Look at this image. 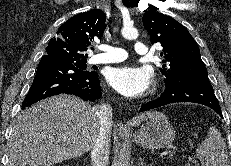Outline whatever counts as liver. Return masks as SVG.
Masks as SVG:
<instances>
[{"label": "liver", "instance_id": "liver-1", "mask_svg": "<svg viewBox=\"0 0 231 166\" xmlns=\"http://www.w3.org/2000/svg\"><path fill=\"white\" fill-rule=\"evenodd\" d=\"M156 112L132 119L139 125ZM100 121L94 107L70 95H59L26 108L15 121L8 144L9 166H52L89 152Z\"/></svg>", "mask_w": 231, "mask_h": 166}]
</instances>
